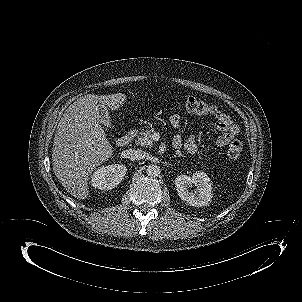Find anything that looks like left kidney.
I'll return each instance as SVG.
<instances>
[{"label":"left kidney","instance_id":"obj_1","mask_svg":"<svg viewBox=\"0 0 302 302\" xmlns=\"http://www.w3.org/2000/svg\"><path fill=\"white\" fill-rule=\"evenodd\" d=\"M175 185L179 197L187 205L202 207L209 205L211 202V182L204 172H196L192 177L187 175L177 176Z\"/></svg>","mask_w":302,"mask_h":302}]
</instances>
